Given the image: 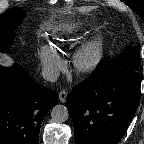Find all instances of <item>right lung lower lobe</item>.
<instances>
[{"label": "right lung lower lobe", "mask_w": 144, "mask_h": 144, "mask_svg": "<svg viewBox=\"0 0 144 144\" xmlns=\"http://www.w3.org/2000/svg\"><path fill=\"white\" fill-rule=\"evenodd\" d=\"M57 99L20 65L0 66V144H39L41 123Z\"/></svg>", "instance_id": "right-lung-lower-lobe-1"}]
</instances>
